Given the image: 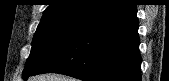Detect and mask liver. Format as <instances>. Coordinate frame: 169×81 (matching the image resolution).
I'll return each mask as SVG.
<instances>
[{
	"label": "liver",
	"instance_id": "obj_1",
	"mask_svg": "<svg viewBox=\"0 0 169 81\" xmlns=\"http://www.w3.org/2000/svg\"><path fill=\"white\" fill-rule=\"evenodd\" d=\"M34 81H69V78L59 75H40L34 78Z\"/></svg>",
	"mask_w": 169,
	"mask_h": 81
}]
</instances>
